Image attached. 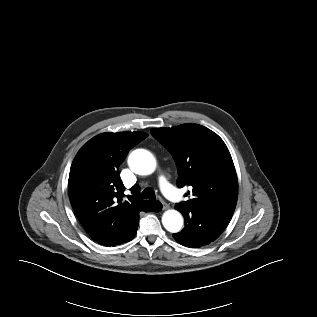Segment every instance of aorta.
<instances>
[{"instance_id":"762f6f07","label":"aorta","mask_w":317,"mask_h":317,"mask_svg":"<svg viewBox=\"0 0 317 317\" xmlns=\"http://www.w3.org/2000/svg\"><path fill=\"white\" fill-rule=\"evenodd\" d=\"M130 169L139 175H150L155 171L156 159L151 152L145 149H136L128 157ZM164 228L177 233L183 225V218L179 211L171 209L164 212L162 216Z\"/></svg>"}]
</instances>
